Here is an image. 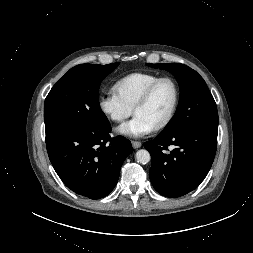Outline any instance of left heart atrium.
<instances>
[{
  "mask_svg": "<svg viewBox=\"0 0 253 253\" xmlns=\"http://www.w3.org/2000/svg\"><path fill=\"white\" fill-rule=\"evenodd\" d=\"M154 130V127L147 122L143 117L136 115L127 123L122 124L117 128L120 134L131 137H143Z\"/></svg>",
  "mask_w": 253,
  "mask_h": 253,
  "instance_id": "1",
  "label": "left heart atrium"
}]
</instances>
